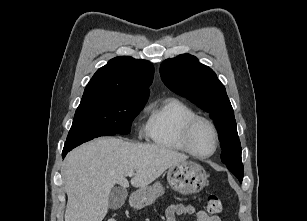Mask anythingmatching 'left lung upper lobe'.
Here are the masks:
<instances>
[{
  "label": "left lung upper lobe",
  "mask_w": 307,
  "mask_h": 221,
  "mask_svg": "<svg viewBox=\"0 0 307 221\" xmlns=\"http://www.w3.org/2000/svg\"><path fill=\"white\" fill-rule=\"evenodd\" d=\"M160 74L168 88L210 113L218 129L222 162L242 182V148L234 111L215 72L199 63L195 56L182 54L165 60L160 66Z\"/></svg>",
  "instance_id": "1"
}]
</instances>
